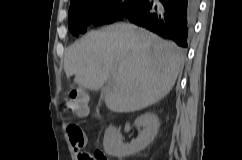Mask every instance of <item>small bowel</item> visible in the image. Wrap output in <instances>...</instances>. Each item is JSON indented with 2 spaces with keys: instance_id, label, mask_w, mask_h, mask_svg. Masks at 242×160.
Instances as JSON below:
<instances>
[{
  "instance_id": "obj_1",
  "label": "small bowel",
  "mask_w": 242,
  "mask_h": 160,
  "mask_svg": "<svg viewBox=\"0 0 242 160\" xmlns=\"http://www.w3.org/2000/svg\"><path fill=\"white\" fill-rule=\"evenodd\" d=\"M88 114V110H86L85 112H77V115L80 116V117H84ZM74 147L78 148V146H75ZM85 152H79L78 153V160H82V155L84 154Z\"/></svg>"
}]
</instances>
